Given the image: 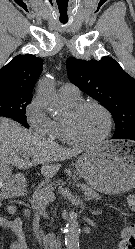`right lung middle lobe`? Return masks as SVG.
<instances>
[{
    "mask_svg": "<svg viewBox=\"0 0 135 249\" xmlns=\"http://www.w3.org/2000/svg\"><path fill=\"white\" fill-rule=\"evenodd\" d=\"M31 99V95L0 93V116L12 118L25 127H29L25 110Z\"/></svg>",
    "mask_w": 135,
    "mask_h": 249,
    "instance_id": "1",
    "label": "right lung middle lobe"
}]
</instances>
